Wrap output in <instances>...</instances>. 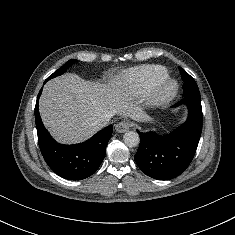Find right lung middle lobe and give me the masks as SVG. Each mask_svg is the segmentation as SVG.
Here are the masks:
<instances>
[{"label":"right lung middle lobe","instance_id":"right-lung-middle-lobe-1","mask_svg":"<svg viewBox=\"0 0 235 235\" xmlns=\"http://www.w3.org/2000/svg\"><path fill=\"white\" fill-rule=\"evenodd\" d=\"M76 60L75 59H71L69 60L68 62H66L61 68H59L57 71H55L53 74H51L47 79L46 81L56 77V76H59L61 74H63L69 67L70 65H72Z\"/></svg>","mask_w":235,"mask_h":235}]
</instances>
